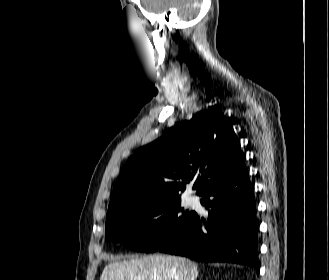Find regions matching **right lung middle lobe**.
<instances>
[{
    "instance_id": "dd1d6c3e",
    "label": "right lung middle lobe",
    "mask_w": 329,
    "mask_h": 280,
    "mask_svg": "<svg viewBox=\"0 0 329 280\" xmlns=\"http://www.w3.org/2000/svg\"><path fill=\"white\" fill-rule=\"evenodd\" d=\"M179 196H148L108 210V240L140 252H155L181 233L196 215Z\"/></svg>"
}]
</instances>
